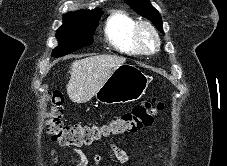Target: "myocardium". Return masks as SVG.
Wrapping results in <instances>:
<instances>
[{
  "label": "myocardium",
  "instance_id": "myocardium-1",
  "mask_svg": "<svg viewBox=\"0 0 227 166\" xmlns=\"http://www.w3.org/2000/svg\"><path fill=\"white\" fill-rule=\"evenodd\" d=\"M148 31L153 38V45L151 47L146 46L141 38L142 32ZM133 40L137 48L143 54H151L156 52L161 44L160 36L156 28L148 21H139L133 30Z\"/></svg>",
  "mask_w": 227,
  "mask_h": 166
}]
</instances>
